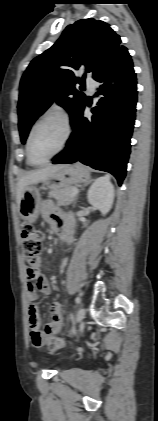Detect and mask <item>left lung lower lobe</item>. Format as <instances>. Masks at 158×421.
<instances>
[{"mask_svg": "<svg viewBox=\"0 0 158 421\" xmlns=\"http://www.w3.org/2000/svg\"><path fill=\"white\" fill-rule=\"evenodd\" d=\"M94 79L100 85L93 116L83 117L86 101L71 123L74 131L65 150L53 158V164L80 161L111 173L121 185L126 175L137 102L136 76L128 50L121 46Z\"/></svg>", "mask_w": 158, "mask_h": 421, "instance_id": "obj_1", "label": "left lung lower lobe"}]
</instances>
